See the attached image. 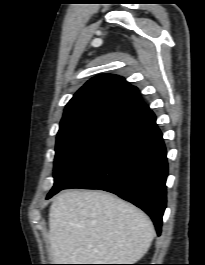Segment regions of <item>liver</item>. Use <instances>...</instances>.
Returning <instances> with one entry per match:
<instances>
[{
	"label": "liver",
	"instance_id": "liver-1",
	"mask_svg": "<svg viewBox=\"0 0 205 265\" xmlns=\"http://www.w3.org/2000/svg\"><path fill=\"white\" fill-rule=\"evenodd\" d=\"M154 235L143 211L105 192L66 191L49 210L50 253L56 264H135Z\"/></svg>",
	"mask_w": 205,
	"mask_h": 265
}]
</instances>
